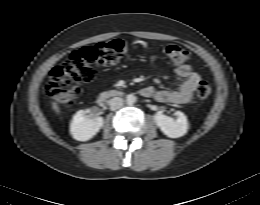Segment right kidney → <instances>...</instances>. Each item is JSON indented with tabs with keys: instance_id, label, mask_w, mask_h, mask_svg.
Here are the masks:
<instances>
[{
	"instance_id": "1",
	"label": "right kidney",
	"mask_w": 260,
	"mask_h": 205,
	"mask_svg": "<svg viewBox=\"0 0 260 205\" xmlns=\"http://www.w3.org/2000/svg\"><path fill=\"white\" fill-rule=\"evenodd\" d=\"M89 110L78 111L71 122L70 133L75 140L88 141L95 136L103 126V118L96 116L89 118Z\"/></svg>"
}]
</instances>
